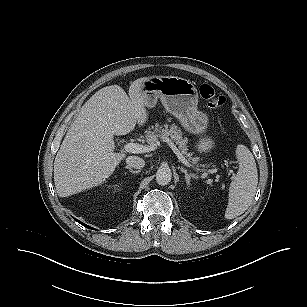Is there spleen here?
I'll use <instances>...</instances> for the list:
<instances>
[{
	"instance_id": "obj_1",
	"label": "spleen",
	"mask_w": 307,
	"mask_h": 307,
	"mask_svg": "<svg viewBox=\"0 0 307 307\" xmlns=\"http://www.w3.org/2000/svg\"><path fill=\"white\" fill-rule=\"evenodd\" d=\"M236 155L239 169L230 183L228 205L225 211L226 219H233L249 208L258 184L256 162L250 150L244 145H238Z\"/></svg>"
}]
</instances>
